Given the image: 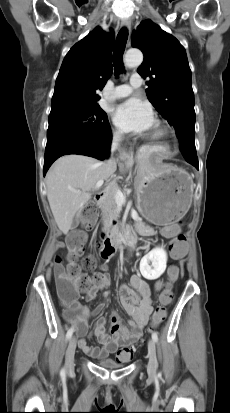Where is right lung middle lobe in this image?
Here are the masks:
<instances>
[{
    "instance_id": "1",
    "label": "right lung middle lobe",
    "mask_w": 230,
    "mask_h": 413,
    "mask_svg": "<svg viewBox=\"0 0 230 413\" xmlns=\"http://www.w3.org/2000/svg\"><path fill=\"white\" fill-rule=\"evenodd\" d=\"M110 129L107 114L100 106L62 107L51 110L47 144L67 137H96Z\"/></svg>"
}]
</instances>
